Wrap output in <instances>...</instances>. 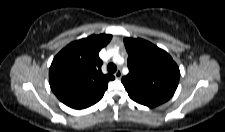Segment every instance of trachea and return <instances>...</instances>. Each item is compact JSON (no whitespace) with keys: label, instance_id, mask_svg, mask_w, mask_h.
Segmentation results:
<instances>
[{"label":"trachea","instance_id":"obj_1","mask_svg":"<svg viewBox=\"0 0 225 132\" xmlns=\"http://www.w3.org/2000/svg\"><path fill=\"white\" fill-rule=\"evenodd\" d=\"M107 70H108V72H110V73H114V72H116L117 67H116L115 64L110 63V64L107 66Z\"/></svg>","mask_w":225,"mask_h":132}]
</instances>
